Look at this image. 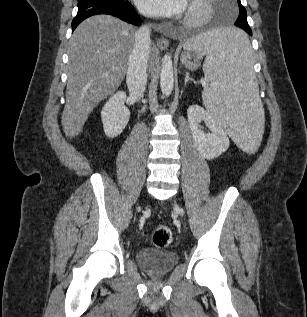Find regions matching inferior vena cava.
<instances>
[{
    "label": "inferior vena cava",
    "instance_id": "obj_1",
    "mask_svg": "<svg viewBox=\"0 0 307 317\" xmlns=\"http://www.w3.org/2000/svg\"><path fill=\"white\" fill-rule=\"evenodd\" d=\"M150 28L143 25L135 34V45L129 56L126 75L129 98L136 102L143 97L147 83V61L150 54Z\"/></svg>",
    "mask_w": 307,
    "mask_h": 317
}]
</instances>
